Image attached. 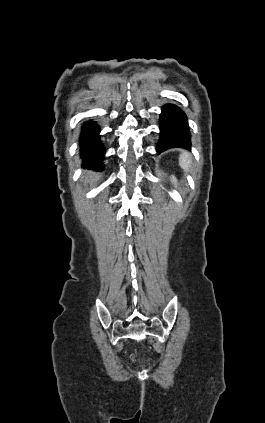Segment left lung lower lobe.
<instances>
[{"label": "left lung lower lobe", "instance_id": "obj_1", "mask_svg": "<svg viewBox=\"0 0 265 423\" xmlns=\"http://www.w3.org/2000/svg\"><path fill=\"white\" fill-rule=\"evenodd\" d=\"M190 138L186 114L176 105H164L160 115V139L157 151L162 152L175 147L188 148L191 145Z\"/></svg>", "mask_w": 265, "mask_h": 423}]
</instances>
